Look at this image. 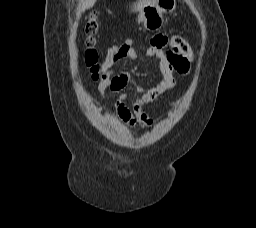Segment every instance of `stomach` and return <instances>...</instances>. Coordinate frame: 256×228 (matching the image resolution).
<instances>
[{"label":"stomach","instance_id":"stomach-1","mask_svg":"<svg viewBox=\"0 0 256 228\" xmlns=\"http://www.w3.org/2000/svg\"><path fill=\"white\" fill-rule=\"evenodd\" d=\"M176 8V0H153L139 11L138 23L147 30H158L163 26V14L171 13Z\"/></svg>","mask_w":256,"mask_h":228}]
</instances>
